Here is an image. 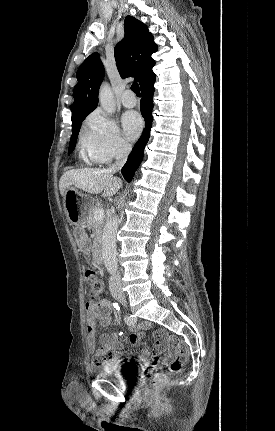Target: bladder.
Here are the masks:
<instances>
[{
  "label": "bladder",
  "instance_id": "obj_1",
  "mask_svg": "<svg viewBox=\"0 0 275 431\" xmlns=\"http://www.w3.org/2000/svg\"><path fill=\"white\" fill-rule=\"evenodd\" d=\"M131 366L128 363H111L109 365L103 366L101 375H109L116 378L119 382H127V371H129Z\"/></svg>",
  "mask_w": 275,
  "mask_h": 431
}]
</instances>
